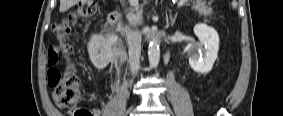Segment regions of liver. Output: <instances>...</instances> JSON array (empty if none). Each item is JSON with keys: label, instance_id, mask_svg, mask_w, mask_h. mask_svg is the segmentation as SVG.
Instances as JSON below:
<instances>
[{"label": "liver", "instance_id": "1", "mask_svg": "<svg viewBox=\"0 0 283 116\" xmlns=\"http://www.w3.org/2000/svg\"><path fill=\"white\" fill-rule=\"evenodd\" d=\"M79 0H60V12L63 13L77 4Z\"/></svg>", "mask_w": 283, "mask_h": 116}]
</instances>
